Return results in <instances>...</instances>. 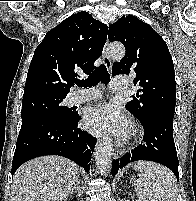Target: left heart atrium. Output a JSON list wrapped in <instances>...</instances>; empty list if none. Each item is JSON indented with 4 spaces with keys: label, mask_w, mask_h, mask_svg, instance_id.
I'll use <instances>...</instances> for the list:
<instances>
[{
    "label": "left heart atrium",
    "mask_w": 196,
    "mask_h": 201,
    "mask_svg": "<svg viewBox=\"0 0 196 201\" xmlns=\"http://www.w3.org/2000/svg\"><path fill=\"white\" fill-rule=\"evenodd\" d=\"M86 128L94 133H112L118 138L126 137L131 123L126 114L116 105L107 104L90 108L84 116Z\"/></svg>",
    "instance_id": "39dd6f15"
}]
</instances>
